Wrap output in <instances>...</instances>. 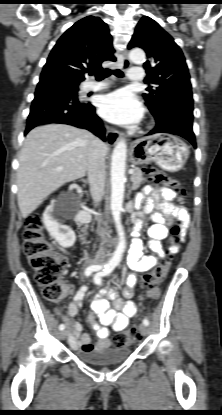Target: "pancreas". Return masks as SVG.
<instances>
[{"label":"pancreas","mask_w":222,"mask_h":415,"mask_svg":"<svg viewBox=\"0 0 222 415\" xmlns=\"http://www.w3.org/2000/svg\"><path fill=\"white\" fill-rule=\"evenodd\" d=\"M134 173L131 175L132 189L136 190L140 187L141 182L144 180L143 173L140 168L133 169Z\"/></svg>","instance_id":"pancreas-1"}]
</instances>
